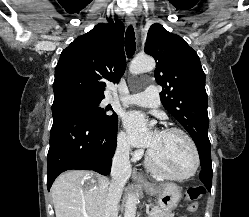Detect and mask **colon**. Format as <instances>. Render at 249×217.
<instances>
[{
  "label": "colon",
  "mask_w": 249,
  "mask_h": 217,
  "mask_svg": "<svg viewBox=\"0 0 249 217\" xmlns=\"http://www.w3.org/2000/svg\"><path fill=\"white\" fill-rule=\"evenodd\" d=\"M204 195V189L202 187H190L186 193L185 198L190 201L187 207L189 212H195L198 209V200Z\"/></svg>",
  "instance_id": "colon-1"
}]
</instances>
